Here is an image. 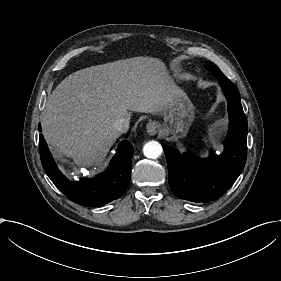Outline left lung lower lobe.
I'll return each mask as SVG.
<instances>
[{
  "mask_svg": "<svg viewBox=\"0 0 281 281\" xmlns=\"http://www.w3.org/2000/svg\"><path fill=\"white\" fill-rule=\"evenodd\" d=\"M228 101L229 132L220 156L211 153L208 159L183 153L162 144L169 184L181 199L207 203L221 197L242 172L247 155V119L235 85L224 75L217 78Z\"/></svg>",
  "mask_w": 281,
  "mask_h": 281,
  "instance_id": "1",
  "label": "left lung lower lobe"
}]
</instances>
